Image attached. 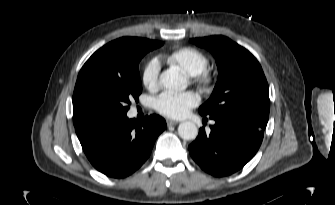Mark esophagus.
<instances>
[{"mask_svg": "<svg viewBox=\"0 0 335 205\" xmlns=\"http://www.w3.org/2000/svg\"><path fill=\"white\" fill-rule=\"evenodd\" d=\"M178 123H179L178 121L171 120V119H167V125H168V126L176 125V124H178Z\"/></svg>", "mask_w": 335, "mask_h": 205, "instance_id": "obj_1", "label": "esophagus"}]
</instances>
